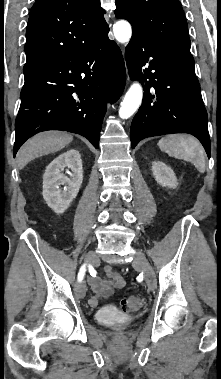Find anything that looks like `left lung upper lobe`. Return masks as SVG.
<instances>
[{"label": "left lung upper lobe", "instance_id": "5c2ea615", "mask_svg": "<svg viewBox=\"0 0 221 379\" xmlns=\"http://www.w3.org/2000/svg\"><path fill=\"white\" fill-rule=\"evenodd\" d=\"M115 16L126 19L133 32L184 55L190 53L186 18L179 0H116Z\"/></svg>", "mask_w": 221, "mask_h": 379}]
</instances>
